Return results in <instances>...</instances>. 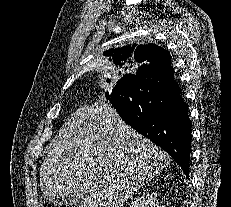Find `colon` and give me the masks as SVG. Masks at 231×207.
<instances>
[{"mask_svg":"<svg viewBox=\"0 0 231 207\" xmlns=\"http://www.w3.org/2000/svg\"><path fill=\"white\" fill-rule=\"evenodd\" d=\"M40 207H73L61 201L44 199L40 203Z\"/></svg>","mask_w":231,"mask_h":207,"instance_id":"5ec220e1","label":"colon"}]
</instances>
